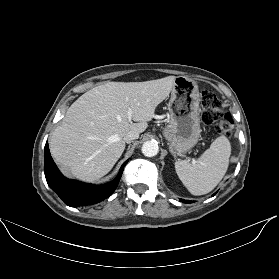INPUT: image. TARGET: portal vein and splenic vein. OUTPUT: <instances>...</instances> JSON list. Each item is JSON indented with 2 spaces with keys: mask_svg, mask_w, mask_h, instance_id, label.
<instances>
[{
  "mask_svg": "<svg viewBox=\"0 0 279 279\" xmlns=\"http://www.w3.org/2000/svg\"><path fill=\"white\" fill-rule=\"evenodd\" d=\"M127 114H128V119H129V121H130V120H131V116H132V111H131V109L128 110Z\"/></svg>",
  "mask_w": 279,
  "mask_h": 279,
  "instance_id": "obj_1",
  "label": "portal vein and splenic vein"
}]
</instances>
